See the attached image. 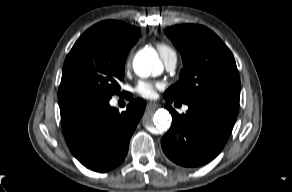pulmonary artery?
Here are the masks:
<instances>
[{"mask_svg":"<svg viewBox=\"0 0 292 192\" xmlns=\"http://www.w3.org/2000/svg\"><path fill=\"white\" fill-rule=\"evenodd\" d=\"M164 63L165 66L168 70H172L175 68L176 64H177V55L176 53H173L171 55H169L166 59H164ZM188 107L184 106L183 110L187 111Z\"/></svg>","mask_w":292,"mask_h":192,"instance_id":"1","label":"pulmonary artery"}]
</instances>
